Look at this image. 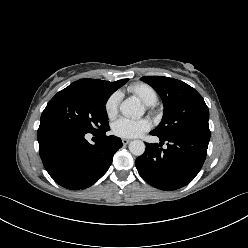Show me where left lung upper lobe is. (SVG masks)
I'll return each instance as SVG.
<instances>
[{"label": "left lung upper lobe", "instance_id": "1", "mask_svg": "<svg viewBox=\"0 0 248 248\" xmlns=\"http://www.w3.org/2000/svg\"><path fill=\"white\" fill-rule=\"evenodd\" d=\"M142 80L161 96L164 114L161 123L152 131L168 138L178 132L208 130L209 110L202 96L188 84L163 76H147Z\"/></svg>", "mask_w": 248, "mask_h": 248}]
</instances>
